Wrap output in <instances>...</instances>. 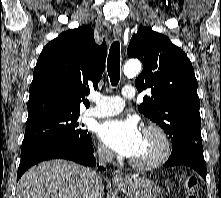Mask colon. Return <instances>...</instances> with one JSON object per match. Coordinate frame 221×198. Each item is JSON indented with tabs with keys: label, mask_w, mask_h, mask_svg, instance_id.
<instances>
[{
	"label": "colon",
	"mask_w": 221,
	"mask_h": 198,
	"mask_svg": "<svg viewBox=\"0 0 221 198\" xmlns=\"http://www.w3.org/2000/svg\"><path fill=\"white\" fill-rule=\"evenodd\" d=\"M182 188L186 194V198H197V179L195 177H187L183 180Z\"/></svg>",
	"instance_id": "5ec220e1"
}]
</instances>
